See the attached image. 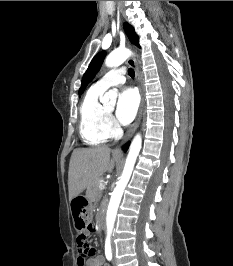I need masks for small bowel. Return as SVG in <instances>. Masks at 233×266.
<instances>
[{"instance_id":"small-bowel-1","label":"small bowel","mask_w":233,"mask_h":266,"mask_svg":"<svg viewBox=\"0 0 233 266\" xmlns=\"http://www.w3.org/2000/svg\"><path fill=\"white\" fill-rule=\"evenodd\" d=\"M80 265L81 264L78 259V266ZM81 266H104V258L101 255L89 257L85 260V262Z\"/></svg>"}]
</instances>
